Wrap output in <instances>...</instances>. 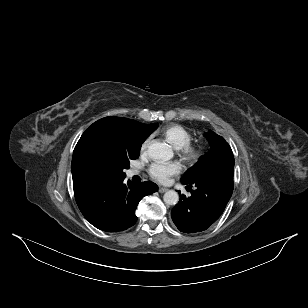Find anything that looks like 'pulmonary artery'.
Segmentation results:
<instances>
[{"label":"pulmonary artery","mask_w":308,"mask_h":308,"mask_svg":"<svg viewBox=\"0 0 308 308\" xmlns=\"http://www.w3.org/2000/svg\"><path fill=\"white\" fill-rule=\"evenodd\" d=\"M136 174H138V172H137L136 170H131V171L129 172V175H130V176H134V175H136Z\"/></svg>","instance_id":"e3ab8cb5"}]
</instances>
